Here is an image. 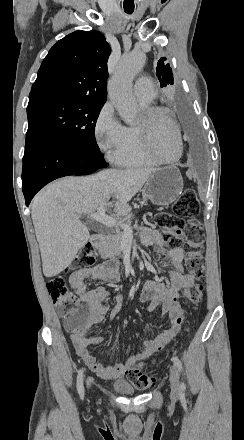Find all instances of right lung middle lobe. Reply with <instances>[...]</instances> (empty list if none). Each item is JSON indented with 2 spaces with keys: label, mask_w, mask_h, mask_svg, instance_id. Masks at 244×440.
Masks as SVG:
<instances>
[{
  "label": "right lung middle lobe",
  "mask_w": 244,
  "mask_h": 440,
  "mask_svg": "<svg viewBox=\"0 0 244 440\" xmlns=\"http://www.w3.org/2000/svg\"><path fill=\"white\" fill-rule=\"evenodd\" d=\"M104 103L86 98L29 100L26 135L55 136L88 150H99L95 124Z\"/></svg>",
  "instance_id": "obj_1"
}]
</instances>
